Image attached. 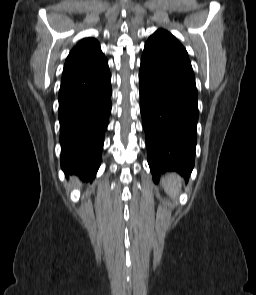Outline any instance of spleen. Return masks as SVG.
<instances>
[{"instance_id": "1", "label": "spleen", "mask_w": 256, "mask_h": 295, "mask_svg": "<svg viewBox=\"0 0 256 295\" xmlns=\"http://www.w3.org/2000/svg\"><path fill=\"white\" fill-rule=\"evenodd\" d=\"M181 182V178L176 174H168L167 176H165L164 188L170 197H177V194L181 188Z\"/></svg>"}]
</instances>
